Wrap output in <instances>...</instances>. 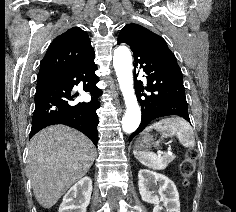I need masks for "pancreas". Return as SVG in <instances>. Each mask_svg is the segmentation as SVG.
<instances>
[{
    "label": "pancreas",
    "instance_id": "1",
    "mask_svg": "<svg viewBox=\"0 0 236 212\" xmlns=\"http://www.w3.org/2000/svg\"><path fill=\"white\" fill-rule=\"evenodd\" d=\"M174 158H175V155H167V154L164 155V159H165V161H166L167 163H169V162H171L172 160H174Z\"/></svg>",
    "mask_w": 236,
    "mask_h": 212
}]
</instances>
